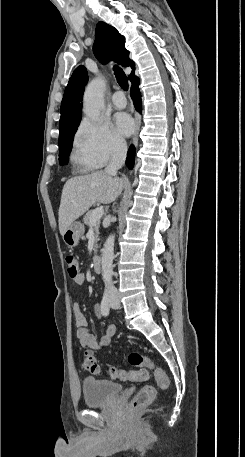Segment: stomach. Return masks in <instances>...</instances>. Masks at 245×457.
I'll return each mask as SVG.
<instances>
[{
	"label": "stomach",
	"instance_id": "0dacf381",
	"mask_svg": "<svg viewBox=\"0 0 245 457\" xmlns=\"http://www.w3.org/2000/svg\"><path fill=\"white\" fill-rule=\"evenodd\" d=\"M82 235H84V224L78 222V220H74V222L68 226L67 231L63 233L62 239L65 245H67L69 249H72V247H77Z\"/></svg>",
	"mask_w": 245,
	"mask_h": 457
}]
</instances>
